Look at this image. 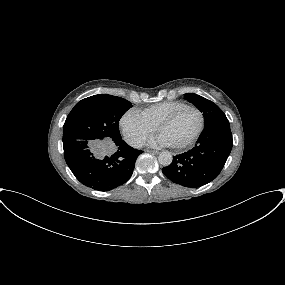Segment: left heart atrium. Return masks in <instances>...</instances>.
I'll list each match as a JSON object with an SVG mask.
<instances>
[{"label": "left heart atrium", "mask_w": 285, "mask_h": 285, "mask_svg": "<svg viewBox=\"0 0 285 285\" xmlns=\"http://www.w3.org/2000/svg\"><path fill=\"white\" fill-rule=\"evenodd\" d=\"M149 144L153 145V146H169V142L167 141V139L161 135L158 134L155 137H152L149 140Z\"/></svg>", "instance_id": "1"}]
</instances>
